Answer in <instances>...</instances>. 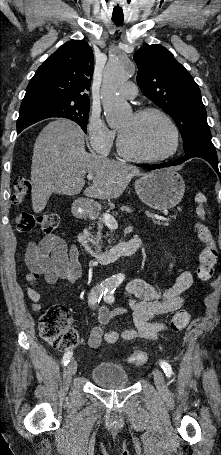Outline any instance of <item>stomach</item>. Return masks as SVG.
<instances>
[{"mask_svg":"<svg viewBox=\"0 0 221 455\" xmlns=\"http://www.w3.org/2000/svg\"><path fill=\"white\" fill-rule=\"evenodd\" d=\"M135 191L147 206L163 211L181 201L185 182L174 169L164 168L142 175L135 181Z\"/></svg>","mask_w":221,"mask_h":455,"instance_id":"1","label":"stomach"}]
</instances>
